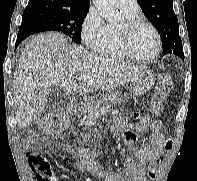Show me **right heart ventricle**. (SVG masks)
<instances>
[{
    "instance_id": "obj_1",
    "label": "right heart ventricle",
    "mask_w": 197,
    "mask_h": 181,
    "mask_svg": "<svg viewBox=\"0 0 197 181\" xmlns=\"http://www.w3.org/2000/svg\"><path fill=\"white\" fill-rule=\"evenodd\" d=\"M125 19H132L139 16V11L127 12L122 11ZM118 27L109 25L107 28L106 37L102 45L97 49L101 56L114 57V58H129L124 51L121 49L118 37H117Z\"/></svg>"
}]
</instances>
